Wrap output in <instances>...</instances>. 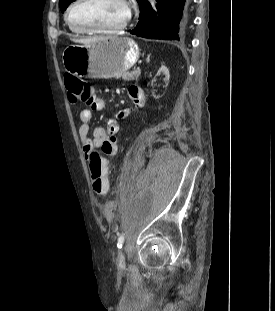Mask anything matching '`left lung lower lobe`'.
<instances>
[{"instance_id": "obj_1", "label": "left lung lower lobe", "mask_w": 275, "mask_h": 311, "mask_svg": "<svg viewBox=\"0 0 275 311\" xmlns=\"http://www.w3.org/2000/svg\"><path fill=\"white\" fill-rule=\"evenodd\" d=\"M189 1L157 0L156 12L144 0L140 6L139 22L130 33L150 39L179 40L188 24Z\"/></svg>"}]
</instances>
